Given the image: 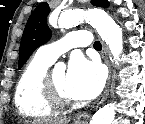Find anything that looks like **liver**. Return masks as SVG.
Segmentation results:
<instances>
[{
    "label": "liver",
    "instance_id": "obj_1",
    "mask_svg": "<svg viewBox=\"0 0 145 124\" xmlns=\"http://www.w3.org/2000/svg\"><path fill=\"white\" fill-rule=\"evenodd\" d=\"M69 120L67 118H51V119H38L34 120L30 124H68ZM29 124V122H26Z\"/></svg>",
    "mask_w": 145,
    "mask_h": 124
}]
</instances>
